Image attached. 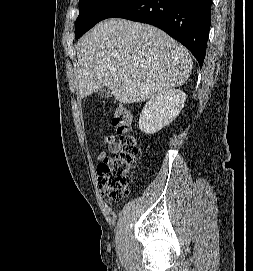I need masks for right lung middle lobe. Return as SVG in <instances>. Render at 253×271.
Returning <instances> with one entry per match:
<instances>
[{
	"instance_id": "dd1d6c3e",
	"label": "right lung middle lobe",
	"mask_w": 253,
	"mask_h": 271,
	"mask_svg": "<svg viewBox=\"0 0 253 271\" xmlns=\"http://www.w3.org/2000/svg\"><path fill=\"white\" fill-rule=\"evenodd\" d=\"M129 0H79V16L75 23L78 39L99 21L112 17Z\"/></svg>"
}]
</instances>
